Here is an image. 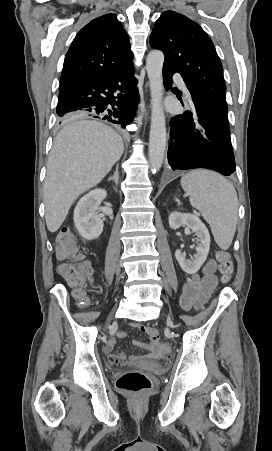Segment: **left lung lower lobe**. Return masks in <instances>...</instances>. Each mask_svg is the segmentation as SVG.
Here are the masks:
<instances>
[{"label": "left lung lower lobe", "mask_w": 272, "mask_h": 451, "mask_svg": "<svg viewBox=\"0 0 272 451\" xmlns=\"http://www.w3.org/2000/svg\"><path fill=\"white\" fill-rule=\"evenodd\" d=\"M175 71L163 66L164 86H172ZM193 110L172 118L168 148L172 170L206 168L223 175L235 172V158L230 141L227 114L192 96Z\"/></svg>", "instance_id": "0a47b994"}]
</instances>
